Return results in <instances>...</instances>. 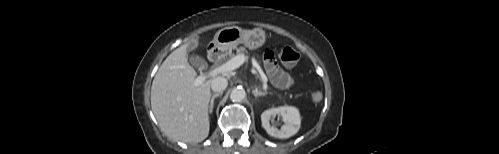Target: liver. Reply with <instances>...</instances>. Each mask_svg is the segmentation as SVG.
Masks as SVG:
<instances>
[{
    "label": "liver",
    "mask_w": 499,
    "mask_h": 154,
    "mask_svg": "<svg viewBox=\"0 0 499 154\" xmlns=\"http://www.w3.org/2000/svg\"><path fill=\"white\" fill-rule=\"evenodd\" d=\"M188 43L162 63L151 87V108L161 130L171 139L201 142L209 135L211 80L196 86V71L187 57Z\"/></svg>",
    "instance_id": "6515ba94"
}]
</instances>
